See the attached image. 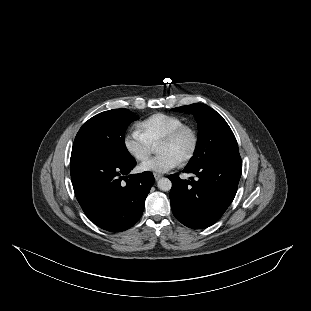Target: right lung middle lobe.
I'll list each match as a JSON object with an SVG mask.
<instances>
[{
  "instance_id": "dd1d6c3e",
  "label": "right lung middle lobe",
  "mask_w": 311,
  "mask_h": 311,
  "mask_svg": "<svg viewBox=\"0 0 311 311\" xmlns=\"http://www.w3.org/2000/svg\"><path fill=\"white\" fill-rule=\"evenodd\" d=\"M137 119L128 109H113L90 118L75 137L70 161L85 155L133 160L125 146L124 134L128 125Z\"/></svg>"
}]
</instances>
